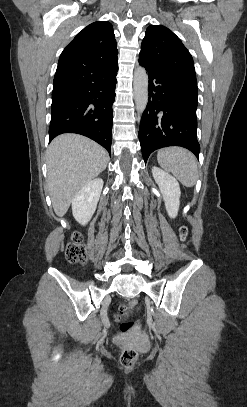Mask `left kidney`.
I'll return each instance as SVG.
<instances>
[{"label": "left kidney", "mask_w": 247, "mask_h": 407, "mask_svg": "<svg viewBox=\"0 0 247 407\" xmlns=\"http://www.w3.org/2000/svg\"><path fill=\"white\" fill-rule=\"evenodd\" d=\"M152 175L163 195L169 217L175 218L178 214L181 195L178 181L169 173L155 166L152 168Z\"/></svg>", "instance_id": "1"}]
</instances>
